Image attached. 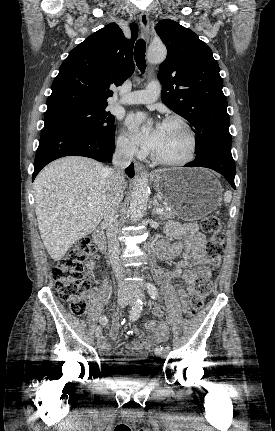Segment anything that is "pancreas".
<instances>
[{"mask_svg": "<svg viewBox=\"0 0 275 431\" xmlns=\"http://www.w3.org/2000/svg\"><path fill=\"white\" fill-rule=\"evenodd\" d=\"M162 208L164 209V212L161 214V217L163 219L175 218L177 216V214L174 211L168 210L167 204H163Z\"/></svg>", "mask_w": 275, "mask_h": 431, "instance_id": "pancreas-1", "label": "pancreas"}]
</instances>
